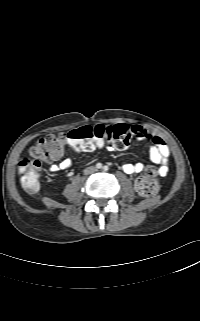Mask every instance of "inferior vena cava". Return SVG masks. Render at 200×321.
I'll list each match as a JSON object with an SVG mask.
<instances>
[{"mask_svg":"<svg viewBox=\"0 0 200 321\" xmlns=\"http://www.w3.org/2000/svg\"><path fill=\"white\" fill-rule=\"evenodd\" d=\"M96 171H97V169L95 167L91 166V167H87L86 169H84V174L89 175V174H92Z\"/></svg>","mask_w":200,"mask_h":321,"instance_id":"1","label":"inferior vena cava"}]
</instances>
